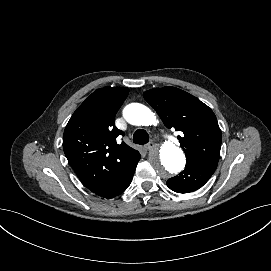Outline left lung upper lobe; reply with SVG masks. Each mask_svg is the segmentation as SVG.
<instances>
[{
	"label": "left lung upper lobe",
	"instance_id": "5c2ea615",
	"mask_svg": "<svg viewBox=\"0 0 271 271\" xmlns=\"http://www.w3.org/2000/svg\"><path fill=\"white\" fill-rule=\"evenodd\" d=\"M143 96L167 128L183 132L178 139L186 154V164L210 162L217 166L222 136L216 116L207 105L175 87L154 88Z\"/></svg>",
	"mask_w": 271,
	"mask_h": 271
}]
</instances>
